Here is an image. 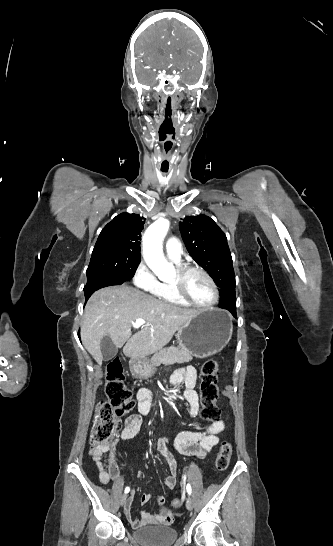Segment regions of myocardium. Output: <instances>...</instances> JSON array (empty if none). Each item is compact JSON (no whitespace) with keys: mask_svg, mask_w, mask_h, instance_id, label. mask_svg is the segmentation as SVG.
Segmentation results:
<instances>
[{"mask_svg":"<svg viewBox=\"0 0 333 546\" xmlns=\"http://www.w3.org/2000/svg\"><path fill=\"white\" fill-rule=\"evenodd\" d=\"M191 271H197L201 273L208 280L214 291V299L212 302L207 304H201L190 298L185 288L184 279L186 275ZM176 275L177 278L175 281H173L172 285L177 296L185 303L198 308H211L218 303L220 298L218 286L213 277L204 268L197 265H184L177 268Z\"/></svg>","mask_w":333,"mask_h":546,"instance_id":"myocardium-1","label":"myocardium"}]
</instances>
